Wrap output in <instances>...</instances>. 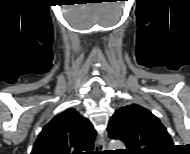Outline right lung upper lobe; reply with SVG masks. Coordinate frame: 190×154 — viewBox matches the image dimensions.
<instances>
[{
    "label": "right lung upper lobe",
    "mask_w": 190,
    "mask_h": 154,
    "mask_svg": "<svg viewBox=\"0 0 190 154\" xmlns=\"http://www.w3.org/2000/svg\"><path fill=\"white\" fill-rule=\"evenodd\" d=\"M96 131L76 109L55 116L40 132L31 154H85L93 150Z\"/></svg>",
    "instance_id": "obj_1"
}]
</instances>
